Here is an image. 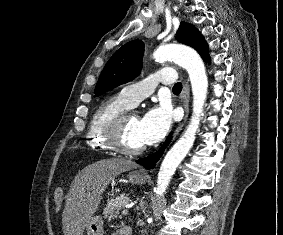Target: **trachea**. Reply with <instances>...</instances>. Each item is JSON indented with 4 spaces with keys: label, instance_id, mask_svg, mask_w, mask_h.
<instances>
[{
    "label": "trachea",
    "instance_id": "obj_1",
    "mask_svg": "<svg viewBox=\"0 0 283 235\" xmlns=\"http://www.w3.org/2000/svg\"><path fill=\"white\" fill-rule=\"evenodd\" d=\"M173 92L175 93H180L181 90H182V84L180 82L176 83L174 86H173Z\"/></svg>",
    "mask_w": 283,
    "mask_h": 235
}]
</instances>
